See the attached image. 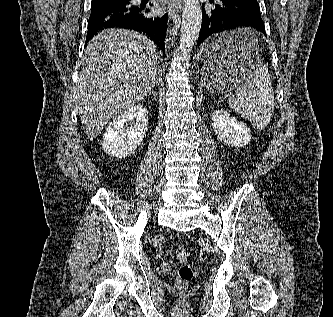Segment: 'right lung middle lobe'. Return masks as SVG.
I'll use <instances>...</instances> for the list:
<instances>
[{"instance_id": "right-lung-middle-lobe-1", "label": "right lung middle lobe", "mask_w": 333, "mask_h": 317, "mask_svg": "<svg viewBox=\"0 0 333 317\" xmlns=\"http://www.w3.org/2000/svg\"><path fill=\"white\" fill-rule=\"evenodd\" d=\"M127 2L128 1H123V0H92L91 8L100 7L103 5H124Z\"/></svg>"}]
</instances>
